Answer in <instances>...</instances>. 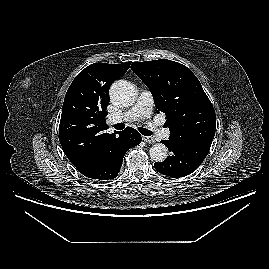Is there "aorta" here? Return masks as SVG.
Listing matches in <instances>:
<instances>
[{
  "label": "aorta",
  "mask_w": 269,
  "mask_h": 269,
  "mask_svg": "<svg viewBox=\"0 0 269 269\" xmlns=\"http://www.w3.org/2000/svg\"><path fill=\"white\" fill-rule=\"evenodd\" d=\"M136 91L134 86L125 80L114 82L110 89L111 101L120 107H126L134 103ZM150 157L155 162H163L167 158L168 148L162 143L154 144L149 150Z\"/></svg>",
  "instance_id": "762f6f07"
}]
</instances>
